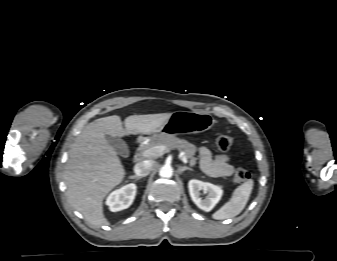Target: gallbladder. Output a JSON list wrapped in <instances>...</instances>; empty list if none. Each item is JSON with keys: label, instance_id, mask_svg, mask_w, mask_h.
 I'll use <instances>...</instances> for the list:
<instances>
[{"label": "gallbladder", "instance_id": "bac80fb5", "mask_svg": "<svg viewBox=\"0 0 337 261\" xmlns=\"http://www.w3.org/2000/svg\"><path fill=\"white\" fill-rule=\"evenodd\" d=\"M105 138L120 156L127 157L129 155L128 146L121 138L111 135H105Z\"/></svg>", "mask_w": 337, "mask_h": 261}]
</instances>
